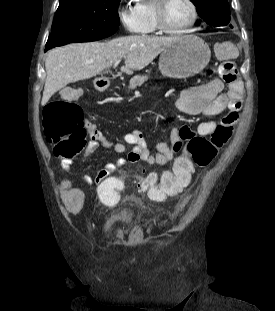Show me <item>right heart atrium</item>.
<instances>
[{"mask_svg":"<svg viewBox=\"0 0 275 311\" xmlns=\"http://www.w3.org/2000/svg\"><path fill=\"white\" fill-rule=\"evenodd\" d=\"M117 17L121 26L129 33H139L142 24L140 18L135 13L134 8H130L127 0H119L117 5Z\"/></svg>","mask_w":275,"mask_h":311,"instance_id":"1","label":"right heart atrium"}]
</instances>
